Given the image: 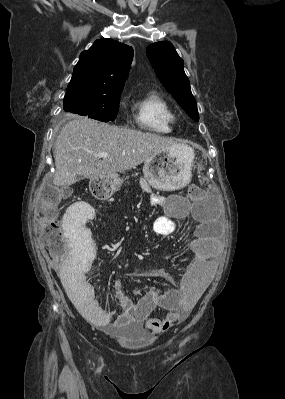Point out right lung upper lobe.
<instances>
[{"label":"right lung upper lobe","instance_id":"cb5924a9","mask_svg":"<svg viewBox=\"0 0 285 399\" xmlns=\"http://www.w3.org/2000/svg\"><path fill=\"white\" fill-rule=\"evenodd\" d=\"M133 49L109 38L96 40L83 51L67 87L69 94L113 95L122 92Z\"/></svg>","mask_w":285,"mask_h":399}]
</instances>
